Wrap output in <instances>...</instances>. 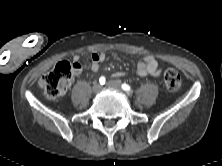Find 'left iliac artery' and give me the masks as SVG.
Wrapping results in <instances>:
<instances>
[{
    "label": "left iliac artery",
    "instance_id": "left-iliac-artery-1",
    "mask_svg": "<svg viewBox=\"0 0 222 166\" xmlns=\"http://www.w3.org/2000/svg\"><path fill=\"white\" fill-rule=\"evenodd\" d=\"M122 89L124 90V91H126V92H129L130 91V86L128 85V84H126V83H124V84H122Z\"/></svg>",
    "mask_w": 222,
    "mask_h": 166
}]
</instances>
